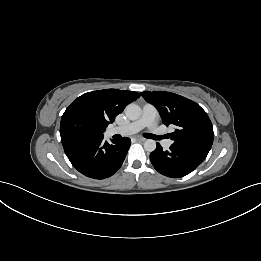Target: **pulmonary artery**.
<instances>
[{
    "label": "pulmonary artery",
    "mask_w": 261,
    "mask_h": 261,
    "mask_svg": "<svg viewBox=\"0 0 261 261\" xmlns=\"http://www.w3.org/2000/svg\"><path fill=\"white\" fill-rule=\"evenodd\" d=\"M147 127L152 133L158 134V112L152 104H145L143 106L141 117L129 124L120 127H114L109 130L110 135L120 134L128 136L139 132L141 129ZM172 144L170 139H163L162 145L164 148H169Z\"/></svg>",
    "instance_id": "1"
}]
</instances>
